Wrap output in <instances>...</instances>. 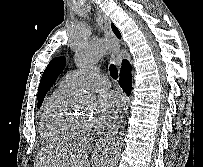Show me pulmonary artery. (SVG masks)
I'll list each match as a JSON object with an SVG mask.
<instances>
[{"mask_svg": "<svg viewBox=\"0 0 203 167\" xmlns=\"http://www.w3.org/2000/svg\"><path fill=\"white\" fill-rule=\"evenodd\" d=\"M61 83L71 88L84 86L90 90L105 89L109 86L108 79L93 67L70 71L62 78Z\"/></svg>", "mask_w": 203, "mask_h": 167, "instance_id": "obj_1", "label": "pulmonary artery"}]
</instances>
